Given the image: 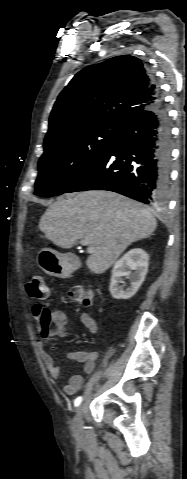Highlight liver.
Wrapping results in <instances>:
<instances>
[{"mask_svg": "<svg viewBox=\"0 0 187 479\" xmlns=\"http://www.w3.org/2000/svg\"><path fill=\"white\" fill-rule=\"evenodd\" d=\"M157 221L140 203L109 191H84L51 204L39 222L45 238L70 249L88 241L87 266L95 274L108 270L133 242L148 238Z\"/></svg>", "mask_w": 187, "mask_h": 479, "instance_id": "6515ba94", "label": "liver"}]
</instances>
